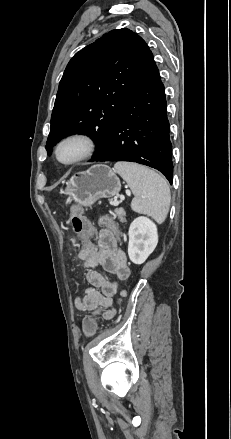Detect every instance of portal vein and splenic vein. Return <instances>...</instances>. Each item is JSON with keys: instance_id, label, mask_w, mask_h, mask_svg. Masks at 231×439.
Listing matches in <instances>:
<instances>
[{"instance_id": "portal-vein-and-splenic-vein-1", "label": "portal vein and splenic vein", "mask_w": 231, "mask_h": 439, "mask_svg": "<svg viewBox=\"0 0 231 439\" xmlns=\"http://www.w3.org/2000/svg\"><path fill=\"white\" fill-rule=\"evenodd\" d=\"M128 194H130V191L127 192ZM124 196L122 195L121 198H123ZM114 206H118V202H113Z\"/></svg>"}]
</instances>
